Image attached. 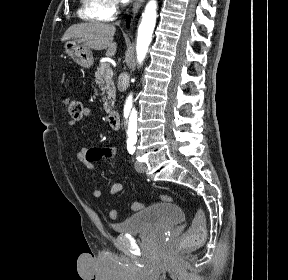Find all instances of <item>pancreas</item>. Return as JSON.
<instances>
[{
	"label": "pancreas",
	"instance_id": "pancreas-1",
	"mask_svg": "<svg viewBox=\"0 0 288 280\" xmlns=\"http://www.w3.org/2000/svg\"><path fill=\"white\" fill-rule=\"evenodd\" d=\"M108 63H101L95 72V82L101 88L104 102V110L109 113L115 103L116 88L112 77L107 78V72L110 70Z\"/></svg>",
	"mask_w": 288,
	"mask_h": 280
}]
</instances>
